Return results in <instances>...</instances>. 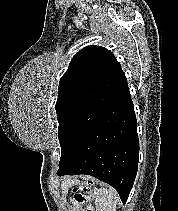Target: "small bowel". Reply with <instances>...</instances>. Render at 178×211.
<instances>
[{"label": "small bowel", "instance_id": "small-bowel-1", "mask_svg": "<svg viewBox=\"0 0 178 211\" xmlns=\"http://www.w3.org/2000/svg\"><path fill=\"white\" fill-rule=\"evenodd\" d=\"M73 211H85V208H81L78 205H74Z\"/></svg>", "mask_w": 178, "mask_h": 211}]
</instances>
